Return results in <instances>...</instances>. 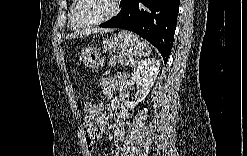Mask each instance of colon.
I'll return each mask as SVG.
<instances>
[{"label":"colon","mask_w":247,"mask_h":156,"mask_svg":"<svg viewBox=\"0 0 247 156\" xmlns=\"http://www.w3.org/2000/svg\"><path fill=\"white\" fill-rule=\"evenodd\" d=\"M103 106H105V101H95L94 107H88V110H86L83 126H85V130L91 136L98 134L99 125L96 124H99V121H101Z\"/></svg>","instance_id":"obj_1"}]
</instances>
